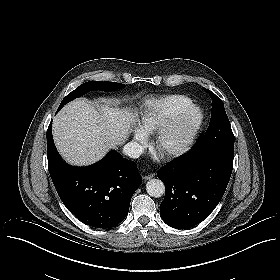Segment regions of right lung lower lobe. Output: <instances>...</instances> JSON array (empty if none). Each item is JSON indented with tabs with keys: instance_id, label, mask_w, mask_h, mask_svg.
I'll list each match as a JSON object with an SVG mask.
<instances>
[{
	"instance_id": "right-lung-lower-lobe-1",
	"label": "right lung lower lobe",
	"mask_w": 280,
	"mask_h": 280,
	"mask_svg": "<svg viewBox=\"0 0 280 280\" xmlns=\"http://www.w3.org/2000/svg\"><path fill=\"white\" fill-rule=\"evenodd\" d=\"M47 159L59 197L80 221L106 229L124 220L131 197L142 182L135 162L110 151L91 166H70L55 148L51 123L47 130Z\"/></svg>"
}]
</instances>
